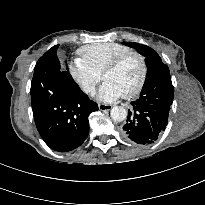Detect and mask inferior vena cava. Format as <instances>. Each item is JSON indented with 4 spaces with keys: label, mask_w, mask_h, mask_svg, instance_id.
I'll return each mask as SVG.
<instances>
[{
    "label": "inferior vena cava",
    "mask_w": 205,
    "mask_h": 205,
    "mask_svg": "<svg viewBox=\"0 0 205 205\" xmlns=\"http://www.w3.org/2000/svg\"><path fill=\"white\" fill-rule=\"evenodd\" d=\"M84 91H85L86 93H90L91 95H94V94H95V87H94V86L85 87V88H84Z\"/></svg>",
    "instance_id": "1"
}]
</instances>
